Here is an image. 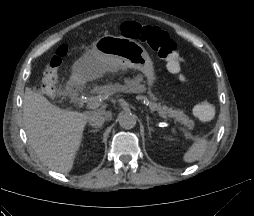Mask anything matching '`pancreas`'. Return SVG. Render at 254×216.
Listing matches in <instances>:
<instances>
[{
    "mask_svg": "<svg viewBox=\"0 0 254 216\" xmlns=\"http://www.w3.org/2000/svg\"><path fill=\"white\" fill-rule=\"evenodd\" d=\"M127 87L129 88L130 91L133 92H140L142 90V85L140 83H135V82H128ZM103 91H113V87L111 86H105L103 88ZM139 99H144V96L138 95ZM153 100L155 101L156 98L153 97ZM150 102L149 106L152 109H155L157 111L165 113L168 117L175 119L176 122L181 124L184 127V134L186 138H191V132L194 128V121L189 118L182 110L180 109H173L169 108L166 105H161L160 103L156 102Z\"/></svg>",
    "mask_w": 254,
    "mask_h": 216,
    "instance_id": "1",
    "label": "pancreas"
}]
</instances>
